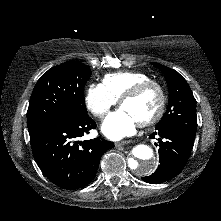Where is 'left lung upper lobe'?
<instances>
[{"label": "left lung upper lobe", "mask_w": 221, "mask_h": 221, "mask_svg": "<svg viewBox=\"0 0 221 221\" xmlns=\"http://www.w3.org/2000/svg\"><path fill=\"white\" fill-rule=\"evenodd\" d=\"M164 73L168 88L167 111L156 127H175L195 138L197 129L196 100L186 80L175 70L152 63Z\"/></svg>", "instance_id": "1"}]
</instances>
